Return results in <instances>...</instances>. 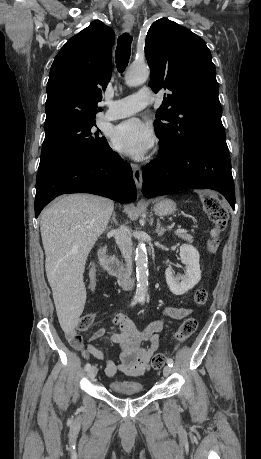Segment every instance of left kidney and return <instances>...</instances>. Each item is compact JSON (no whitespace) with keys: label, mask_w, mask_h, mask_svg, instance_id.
<instances>
[{"label":"left kidney","mask_w":261,"mask_h":459,"mask_svg":"<svg viewBox=\"0 0 261 459\" xmlns=\"http://www.w3.org/2000/svg\"><path fill=\"white\" fill-rule=\"evenodd\" d=\"M180 257L185 264L186 272L179 277L173 276V269L167 268L165 271L166 282L170 291L175 295H183L192 289L201 279L199 265L200 255L196 248L189 244L180 246Z\"/></svg>","instance_id":"left-kidney-1"}]
</instances>
